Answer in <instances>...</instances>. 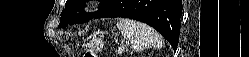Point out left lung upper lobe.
I'll list each match as a JSON object with an SVG mask.
<instances>
[{"instance_id":"5c2ea615","label":"left lung upper lobe","mask_w":249,"mask_h":57,"mask_svg":"<svg viewBox=\"0 0 249 57\" xmlns=\"http://www.w3.org/2000/svg\"><path fill=\"white\" fill-rule=\"evenodd\" d=\"M87 1L88 0H67L65 9L61 13L62 17L59 27H65L68 24L84 23L104 11L113 0H100V9L94 13L82 12L83 6Z\"/></svg>"}]
</instances>
